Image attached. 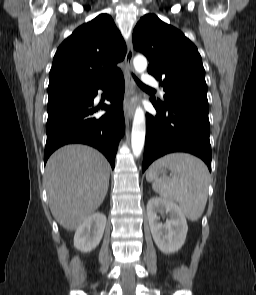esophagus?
<instances>
[{
  "label": "esophagus",
  "instance_id": "1",
  "mask_svg": "<svg viewBox=\"0 0 256 295\" xmlns=\"http://www.w3.org/2000/svg\"><path fill=\"white\" fill-rule=\"evenodd\" d=\"M134 56V49H133V43L132 38H129L128 41V50L125 57V63H126V71H125V78H126V91H125V103H124V114L128 120H130L133 117L134 114V105L130 102V98L135 93V85L132 80V61Z\"/></svg>",
  "mask_w": 256,
  "mask_h": 295
}]
</instances>
